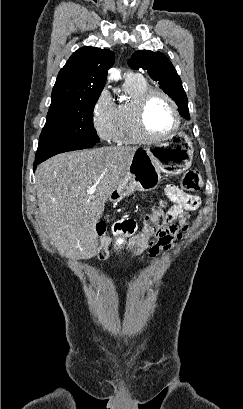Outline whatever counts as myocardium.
<instances>
[{"label": "myocardium", "instance_id": "1", "mask_svg": "<svg viewBox=\"0 0 243 409\" xmlns=\"http://www.w3.org/2000/svg\"><path fill=\"white\" fill-rule=\"evenodd\" d=\"M154 95H160L169 103L175 120L172 129L167 133L161 135H154L150 133L145 124L146 106L150 98ZM130 116L135 133L142 141L146 142H156L166 139L174 135L181 126V115L176 102L169 94L158 88H149L148 90L143 92L132 104L130 109Z\"/></svg>", "mask_w": 243, "mask_h": 409}]
</instances>
